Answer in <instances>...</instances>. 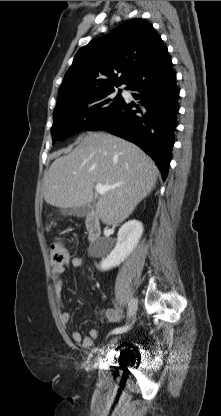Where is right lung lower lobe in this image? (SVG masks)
Returning a JSON list of instances; mask_svg holds the SVG:
<instances>
[{
	"label": "right lung lower lobe",
	"mask_w": 221,
	"mask_h": 416,
	"mask_svg": "<svg viewBox=\"0 0 221 416\" xmlns=\"http://www.w3.org/2000/svg\"><path fill=\"white\" fill-rule=\"evenodd\" d=\"M173 69L165 77L140 82L130 90L139 104L126 101L116 114L95 130H107L142 148L156 162L165 180L174 144L179 91Z\"/></svg>",
	"instance_id": "right-lung-lower-lobe-1"
}]
</instances>
